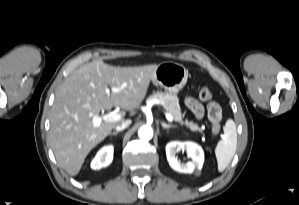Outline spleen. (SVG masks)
I'll use <instances>...</instances> for the list:
<instances>
[{"mask_svg":"<svg viewBox=\"0 0 299 205\" xmlns=\"http://www.w3.org/2000/svg\"><path fill=\"white\" fill-rule=\"evenodd\" d=\"M224 136L215 148L218 172H223L235 155L237 148L236 125L232 119L224 126Z\"/></svg>","mask_w":299,"mask_h":205,"instance_id":"1","label":"spleen"}]
</instances>
